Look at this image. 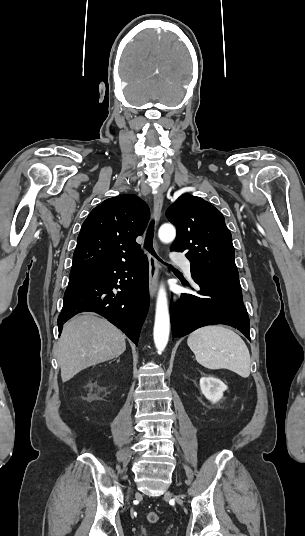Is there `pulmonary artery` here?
Wrapping results in <instances>:
<instances>
[{
    "label": "pulmonary artery",
    "instance_id": "obj_1",
    "mask_svg": "<svg viewBox=\"0 0 305 536\" xmlns=\"http://www.w3.org/2000/svg\"><path fill=\"white\" fill-rule=\"evenodd\" d=\"M171 262L180 264L184 272L191 277V263L189 260H186V257L182 253H176L171 255L170 257Z\"/></svg>",
    "mask_w": 305,
    "mask_h": 536
}]
</instances>
